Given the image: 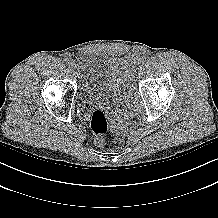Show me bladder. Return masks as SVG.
<instances>
[{
	"label": "bladder",
	"instance_id": "bladder-1",
	"mask_svg": "<svg viewBox=\"0 0 218 218\" xmlns=\"http://www.w3.org/2000/svg\"><path fill=\"white\" fill-rule=\"evenodd\" d=\"M135 60L83 52L78 57L79 97L83 104L108 102L120 94L133 77Z\"/></svg>",
	"mask_w": 218,
	"mask_h": 218
}]
</instances>
